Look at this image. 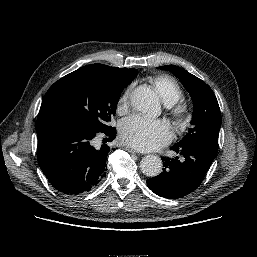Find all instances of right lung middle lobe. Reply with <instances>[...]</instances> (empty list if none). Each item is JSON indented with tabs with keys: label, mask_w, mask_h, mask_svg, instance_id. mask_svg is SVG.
<instances>
[{
	"label": "right lung middle lobe",
	"mask_w": 257,
	"mask_h": 257,
	"mask_svg": "<svg viewBox=\"0 0 257 257\" xmlns=\"http://www.w3.org/2000/svg\"><path fill=\"white\" fill-rule=\"evenodd\" d=\"M136 75L134 68L109 73L99 67H82L49 88L38 120L45 126L72 124L95 132L107 131L123 89Z\"/></svg>",
	"instance_id": "1"
}]
</instances>
